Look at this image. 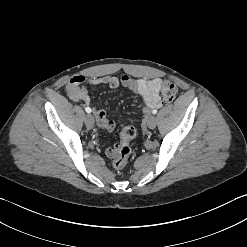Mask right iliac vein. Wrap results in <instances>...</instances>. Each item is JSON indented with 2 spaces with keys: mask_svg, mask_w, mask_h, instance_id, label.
I'll return each instance as SVG.
<instances>
[{
  "mask_svg": "<svg viewBox=\"0 0 247 247\" xmlns=\"http://www.w3.org/2000/svg\"><path fill=\"white\" fill-rule=\"evenodd\" d=\"M85 124L87 127L92 128L94 126V117L92 114H88L85 117Z\"/></svg>",
  "mask_w": 247,
  "mask_h": 247,
  "instance_id": "1",
  "label": "right iliac vein"
}]
</instances>
